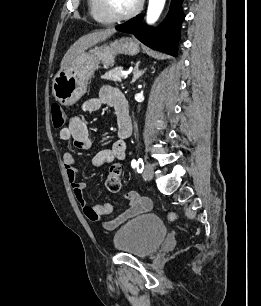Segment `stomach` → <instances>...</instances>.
Masks as SVG:
<instances>
[{
	"label": "stomach",
	"mask_w": 261,
	"mask_h": 306,
	"mask_svg": "<svg viewBox=\"0 0 261 306\" xmlns=\"http://www.w3.org/2000/svg\"><path fill=\"white\" fill-rule=\"evenodd\" d=\"M139 46L130 38L123 37L110 45L95 46L81 53L70 65L59 71L53 79V95L65 106L76 103L87 91L89 80L99 64L112 67L118 54L137 55Z\"/></svg>",
	"instance_id": "1"
}]
</instances>
